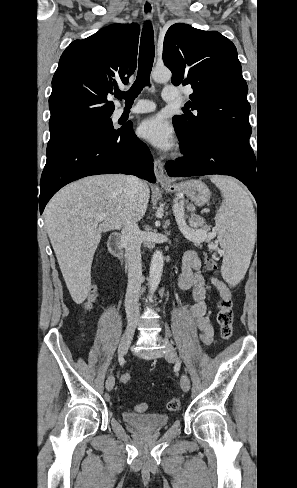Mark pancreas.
<instances>
[{
    "instance_id": "1",
    "label": "pancreas",
    "mask_w": 297,
    "mask_h": 488,
    "mask_svg": "<svg viewBox=\"0 0 297 488\" xmlns=\"http://www.w3.org/2000/svg\"><path fill=\"white\" fill-rule=\"evenodd\" d=\"M179 205L182 206V204L180 203ZM195 224H199V225H203L204 224V219L203 218H200V217H196L194 220L191 221V225L192 227L195 226Z\"/></svg>"
}]
</instances>
